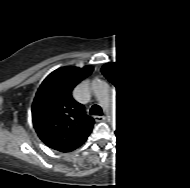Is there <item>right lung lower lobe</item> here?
<instances>
[{
	"label": "right lung lower lobe",
	"mask_w": 190,
	"mask_h": 188,
	"mask_svg": "<svg viewBox=\"0 0 190 188\" xmlns=\"http://www.w3.org/2000/svg\"><path fill=\"white\" fill-rule=\"evenodd\" d=\"M79 146H80V145H79ZM79 146H78V147H79ZM76 148H77V147H76ZM76 148H74V149H76ZM74 149H71V150H68V151H63V152H69V151H72V150H74Z\"/></svg>",
	"instance_id": "1"
}]
</instances>
